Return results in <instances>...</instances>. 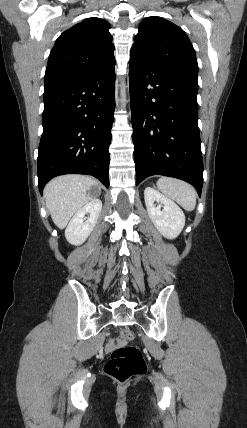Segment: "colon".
Instances as JSON below:
<instances>
[{
	"mask_svg": "<svg viewBox=\"0 0 247 428\" xmlns=\"http://www.w3.org/2000/svg\"><path fill=\"white\" fill-rule=\"evenodd\" d=\"M132 337L131 331L123 330L108 344L111 354L104 370L108 376L120 383L126 382L135 375L143 374L146 370L140 350L128 345Z\"/></svg>",
	"mask_w": 247,
	"mask_h": 428,
	"instance_id": "obj_1",
	"label": "colon"
}]
</instances>
